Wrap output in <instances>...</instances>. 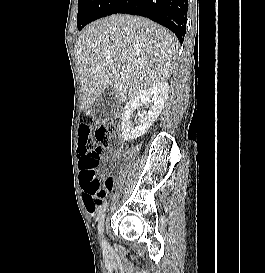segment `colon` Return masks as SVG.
Masks as SVG:
<instances>
[{"label":"colon","instance_id":"1","mask_svg":"<svg viewBox=\"0 0 265 273\" xmlns=\"http://www.w3.org/2000/svg\"><path fill=\"white\" fill-rule=\"evenodd\" d=\"M118 128L119 119L114 118L95 129H79L80 180L84 192L105 196L106 192L112 188L113 182L110 178L102 182L97 176L101 152L99 144H108L117 134Z\"/></svg>","mask_w":265,"mask_h":273}]
</instances>
